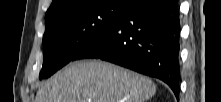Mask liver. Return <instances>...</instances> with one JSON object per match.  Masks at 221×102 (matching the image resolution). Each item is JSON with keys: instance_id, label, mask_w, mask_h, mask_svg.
Returning a JSON list of instances; mask_svg holds the SVG:
<instances>
[{"instance_id": "6515ba94", "label": "liver", "mask_w": 221, "mask_h": 102, "mask_svg": "<svg viewBox=\"0 0 221 102\" xmlns=\"http://www.w3.org/2000/svg\"><path fill=\"white\" fill-rule=\"evenodd\" d=\"M156 89L149 78L133 71L84 60L69 64L43 83L36 102H145Z\"/></svg>"}]
</instances>
